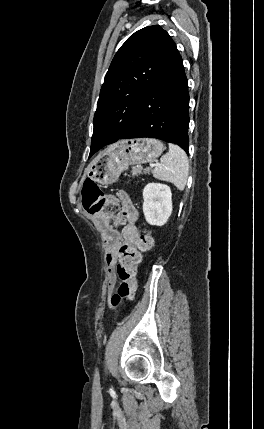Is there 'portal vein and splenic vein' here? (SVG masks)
Wrapping results in <instances>:
<instances>
[{"mask_svg": "<svg viewBox=\"0 0 264 429\" xmlns=\"http://www.w3.org/2000/svg\"><path fill=\"white\" fill-rule=\"evenodd\" d=\"M157 166H159L158 163H156V164L152 163V164L149 165V168H154V167H157Z\"/></svg>", "mask_w": 264, "mask_h": 429, "instance_id": "obj_1", "label": "portal vein and splenic vein"}]
</instances>
